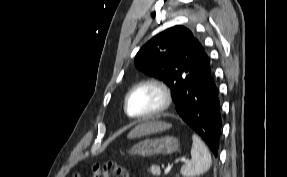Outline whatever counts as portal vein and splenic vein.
Segmentation results:
<instances>
[{"label": "portal vein and splenic vein", "mask_w": 287, "mask_h": 177, "mask_svg": "<svg viewBox=\"0 0 287 177\" xmlns=\"http://www.w3.org/2000/svg\"><path fill=\"white\" fill-rule=\"evenodd\" d=\"M182 161L186 162V159H182ZM172 166L170 164L167 165V167L164 170L165 175H167L171 171Z\"/></svg>", "instance_id": "18ae733b"}]
</instances>
